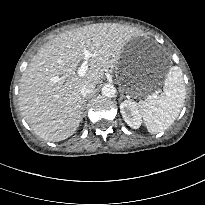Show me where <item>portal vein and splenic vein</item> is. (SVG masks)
I'll return each mask as SVG.
<instances>
[{
	"label": "portal vein and splenic vein",
	"mask_w": 205,
	"mask_h": 205,
	"mask_svg": "<svg viewBox=\"0 0 205 205\" xmlns=\"http://www.w3.org/2000/svg\"><path fill=\"white\" fill-rule=\"evenodd\" d=\"M84 60L77 71L78 77H83L88 69V60L90 57L95 56V54L91 53L89 50L84 49ZM57 78H54L53 81L57 82Z\"/></svg>",
	"instance_id": "1"
}]
</instances>
